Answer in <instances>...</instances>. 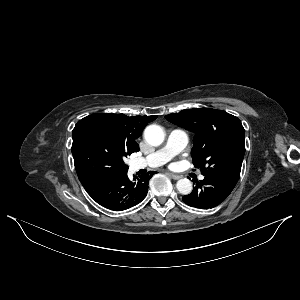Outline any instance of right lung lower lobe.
Returning a JSON list of instances; mask_svg holds the SVG:
<instances>
[{
	"instance_id": "1",
	"label": "right lung lower lobe",
	"mask_w": 300,
	"mask_h": 300,
	"mask_svg": "<svg viewBox=\"0 0 300 300\" xmlns=\"http://www.w3.org/2000/svg\"><path fill=\"white\" fill-rule=\"evenodd\" d=\"M154 174L150 171L130 180L127 173H102L83 178L80 182L99 205L122 211L139 204L146 197L149 180Z\"/></svg>"
}]
</instances>
